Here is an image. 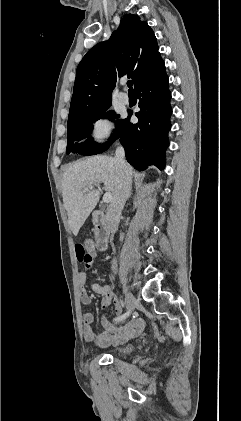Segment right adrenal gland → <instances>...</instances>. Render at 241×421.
<instances>
[{"label":"right adrenal gland","instance_id":"obj_1","mask_svg":"<svg viewBox=\"0 0 241 421\" xmlns=\"http://www.w3.org/2000/svg\"><path fill=\"white\" fill-rule=\"evenodd\" d=\"M132 192H130L129 197H131Z\"/></svg>","mask_w":241,"mask_h":421}]
</instances>
